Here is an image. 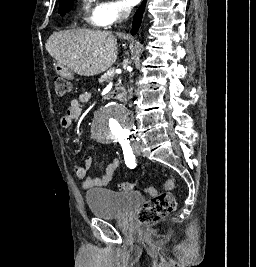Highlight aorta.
<instances>
[{"label": "aorta", "mask_w": 256, "mask_h": 267, "mask_svg": "<svg viewBox=\"0 0 256 267\" xmlns=\"http://www.w3.org/2000/svg\"><path fill=\"white\" fill-rule=\"evenodd\" d=\"M93 122L94 127H131L127 108H119V104L100 108L99 117H93ZM116 133H125V128H92L91 138H96V143H113Z\"/></svg>", "instance_id": "762f6f07"}]
</instances>
